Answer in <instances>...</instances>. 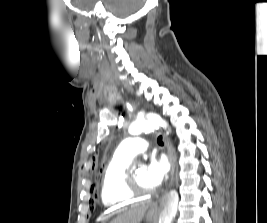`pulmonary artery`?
I'll list each match as a JSON object with an SVG mask.
<instances>
[{"mask_svg":"<svg viewBox=\"0 0 267 223\" xmlns=\"http://www.w3.org/2000/svg\"><path fill=\"white\" fill-rule=\"evenodd\" d=\"M147 148L148 143L143 137L134 136L121 142L114 154L121 158L132 159L139 153L146 151Z\"/></svg>","mask_w":267,"mask_h":223,"instance_id":"obj_1","label":"pulmonary artery"}]
</instances>
